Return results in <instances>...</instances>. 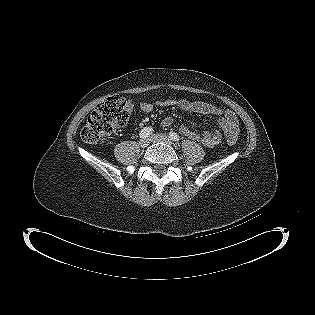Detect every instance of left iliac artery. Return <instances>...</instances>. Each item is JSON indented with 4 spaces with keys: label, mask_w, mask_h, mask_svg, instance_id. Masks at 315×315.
<instances>
[{
    "label": "left iliac artery",
    "mask_w": 315,
    "mask_h": 315,
    "mask_svg": "<svg viewBox=\"0 0 315 315\" xmlns=\"http://www.w3.org/2000/svg\"><path fill=\"white\" fill-rule=\"evenodd\" d=\"M169 138H171V140H173V141H179L180 140L178 134L175 132H170Z\"/></svg>",
    "instance_id": "1"
}]
</instances>
